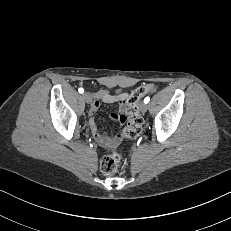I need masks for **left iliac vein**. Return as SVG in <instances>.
<instances>
[{"label":"left iliac vein","mask_w":231,"mask_h":231,"mask_svg":"<svg viewBox=\"0 0 231 231\" xmlns=\"http://www.w3.org/2000/svg\"><path fill=\"white\" fill-rule=\"evenodd\" d=\"M147 109H148V105H147L146 103H141V104H140V110H141L142 112H146Z\"/></svg>","instance_id":"4c4485c4"}]
</instances>
